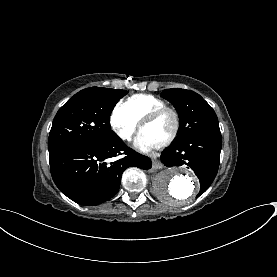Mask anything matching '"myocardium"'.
Here are the masks:
<instances>
[{
	"instance_id": "1",
	"label": "myocardium",
	"mask_w": 277,
	"mask_h": 277,
	"mask_svg": "<svg viewBox=\"0 0 277 277\" xmlns=\"http://www.w3.org/2000/svg\"><path fill=\"white\" fill-rule=\"evenodd\" d=\"M165 113H169L172 115L174 120V126L169 136L165 138L161 143H159L160 147L170 144L176 138L179 132L180 123H181L178 112L174 108L169 106H163V107L152 109L149 112H147L146 115L142 118L139 126L140 130H142L145 126L151 124L152 122L160 118Z\"/></svg>"
}]
</instances>
